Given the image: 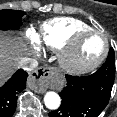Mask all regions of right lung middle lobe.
Returning a JSON list of instances; mask_svg holds the SVG:
<instances>
[{
    "label": "right lung middle lobe",
    "mask_w": 117,
    "mask_h": 117,
    "mask_svg": "<svg viewBox=\"0 0 117 117\" xmlns=\"http://www.w3.org/2000/svg\"><path fill=\"white\" fill-rule=\"evenodd\" d=\"M24 14V11L19 10H0V30L19 29Z\"/></svg>",
    "instance_id": "right-lung-middle-lobe-1"
}]
</instances>
